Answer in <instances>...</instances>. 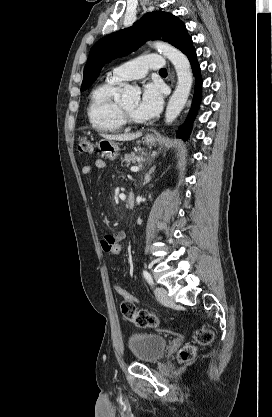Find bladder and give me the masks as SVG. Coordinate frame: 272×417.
<instances>
[{
    "label": "bladder",
    "instance_id": "31cf9c89",
    "mask_svg": "<svg viewBox=\"0 0 272 417\" xmlns=\"http://www.w3.org/2000/svg\"><path fill=\"white\" fill-rule=\"evenodd\" d=\"M167 347V339L152 333H134L128 339V348L139 362H157Z\"/></svg>",
    "mask_w": 272,
    "mask_h": 417
}]
</instances>
